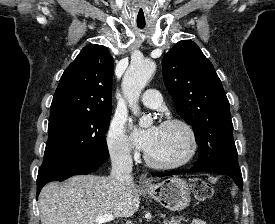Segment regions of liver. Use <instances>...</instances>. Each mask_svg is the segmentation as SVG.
Returning <instances> with one entry per match:
<instances>
[{
    "instance_id": "1",
    "label": "liver",
    "mask_w": 275,
    "mask_h": 224,
    "mask_svg": "<svg viewBox=\"0 0 275 224\" xmlns=\"http://www.w3.org/2000/svg\"><path fill=\"white\" fill-rule=\"evenodd\" d=\"M41 224H95V218L131 217L139 208L136 185L122 190L112 175H77L67 182H51L39 195Z\"/></svg>"
}]
</instances>
